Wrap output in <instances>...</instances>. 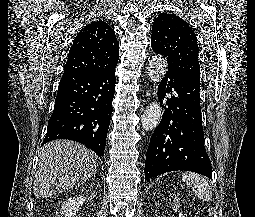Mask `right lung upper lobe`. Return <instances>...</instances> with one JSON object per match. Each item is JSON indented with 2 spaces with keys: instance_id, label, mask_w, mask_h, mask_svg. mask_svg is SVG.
Returning <instances> with one entry per match:
<instances>
[{
  "instance_id": "right-lung-upper-lobe-1",
  "label": "right lung upper lobe",
  "mask_w": 255,
  "mask_h": 217,
  "mask_svg": "<svg viewBox=\"0 0 255 217\" xmlns=\"http://www.w3.org/2000/svg\"><path fill=\"white\" fill-rule=\"evenodd\" d=\"M119 43L114 30L95 21L79 31L69 50L64 73L107 72L116 67Z\"/></svg>"
}]
</instances>
